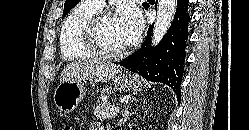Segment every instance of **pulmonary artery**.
<instances>
[{
    "mask_svg": "<svg viewBox=\"0 0 249 130\" xmlns=\"http://www.w3.org/2000/svg\"><path fill=\"white\" fill-rule=\"evenodd\" d=\"M90 1L100 8L103 7L104 5V0H90Z\"/></svg>",
    "mask_w": 249,
    "mask_h": 130,
    "instance_id": "pulmonary-artery-1",
    "label": "pulmonary artery"
}]
</instances>
